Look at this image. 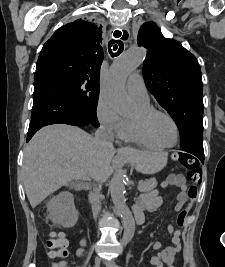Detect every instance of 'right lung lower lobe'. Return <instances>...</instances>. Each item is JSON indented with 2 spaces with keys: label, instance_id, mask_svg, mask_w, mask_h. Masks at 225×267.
Masks as SVG:
<instances>
[{
  "label": "right lung lower lobe",
  "instance_id": "98d812e1",
  "mask_svg": "<svg viewBox=\"0 0 225 267\" xmlns=\"http://www.w3.org/2000/svg\"><path fill=\"white\" fill-rule=\"evenodd\" d=\"M50 124L94 125L61 83L48 74L36 73L27 142L40 128Z\"/></svg>",
  "mask_w": 225,
  "mask_h": 267
}]
</instances>
